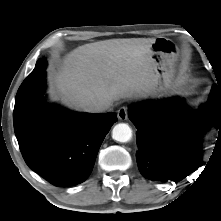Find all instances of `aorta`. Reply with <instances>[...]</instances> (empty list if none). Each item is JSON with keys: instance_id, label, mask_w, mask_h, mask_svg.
<instances>
[{"instance_id": "aorta-1", "label": "aorta", "mask_w": 221, "mask_h": 221, "mask_svg": "<svg viewBox=\"0 0 221 221\" xmlns=\"http://www.w3.org/2000/svg\"><path fill=\"white\" fill-rule=\"evenodd\" d=\"M112 138L117 142H129L132 139V129L126 123H119L112 130Z\"/></svg>"}]
</instances>
